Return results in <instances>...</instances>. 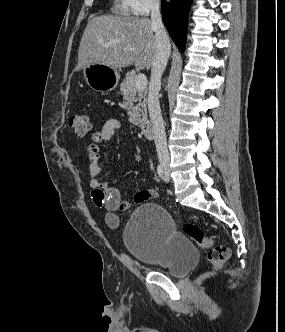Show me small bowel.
<instances>
[{
  "label": "small bowel",
  "mask_w": 285,
  "mask_h": 332,
  "mask_svg": "<svg viewBox=\"0 0 285 332\" xmlns=\"http://www.w3.org/2000/svg\"><path fill=\"white\" fill-rule=\"evenodd\" d=\"M121 123L116 118H108L102 124L100 129L96 132L94 140L95 143L107 144L113 138L115 133L120 129ZM89 152V174L90 187L93 203L97 207L104 208L106 211V222L110 227L117 228L120 224V219L116 212L127 211L131 207L128 200L122 199L118 189L110 187L106 182L101 181L98 175L102 169V160L98 154L96 144H91L88 147ZM157 190L155 188L140 190L134 196V202L137 204L155 197Z\"/></svg>",
  "instance_id": "1"
}]
</instances>
